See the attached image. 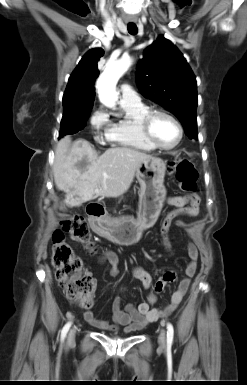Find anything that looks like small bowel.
Listing matches in <instances>:
<instances>
[{
  "label": "small bowel",
  "mask_w": 247,
  "mask_h": 385,
  "mask_svg": "<svg viewBox=\"0 0 247 385\" xmlns=\"http://www.w3.org/2000/svg\"><path fill=\"white\" fill-rule=\"evenodd\" d=\"M166 203L178 208L179 211H182V215L195 217L199 213L200 199L196 195L169 196L166 198ZM176 225L178 227L187 226L184 221H178ZM187 250L190 261L185 268V276L179 282L170 301L162 308H152V305L156 302L157 295L163 291L164 287L174 281L175 273L173 271H167L154 282L152 276L146 270L140 266H133L131 268L133 277L138 279L145 289L151 290L148 300L140 303L138 306L129 303L122 308L121 298L116 296L112 303V324L97 318L90 310L85 312V320L102 330L117 332L119 327L122 326L124 327L125 333H131L143 329L146 325L160 318L168 317L181 303L197 269V248L195 245L189 244ZM103 259L111 266L109 271L110 276L116 277L119 274L118 255L114 251L105 250L103 252Z\"/></svg>",
  "instance_id": "c3829d8e"
}]
</instances>
